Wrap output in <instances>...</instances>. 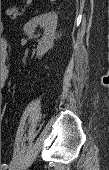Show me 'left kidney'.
<instances>
[{"label": "left kidney", "instance_id": "1", "mask_svg": "<svg viewBox=\"0 0 109 170\" xmlns=\"http://www.w3.org/2000/svg\"><path fill=\"white\" fill-rule=\"evenodd\" d=\"M57 18L55 12H48L32 18L24 25L23 31L29 36H34L35 30L38 26L44 28L43 36L39 40L37 46V58L44 56V54L53 47Z\"/></svg>", "mask_w": 109, "mask_h": 170}]
</instances>
